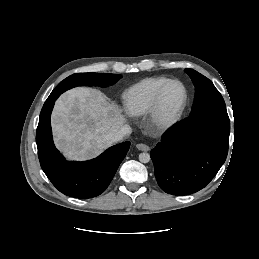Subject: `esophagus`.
Returning <instances> with one entry per match:
<instances>
[{
  "label": "esophagus",
  "mask_w": 259,
  "mask_h": 259,
  "mask_svg": "<svg viewBox=\"0 0 259 259\" xmlns=\"http://www.w3.org/2000/svg\"><path fill=\"white\" fill-rule=\"evenodd\" d=\"M136 147H137V149L140 150V151H145V152H147V151L150 150L149 146L146 145V144H143V143L137 144Z\"/></svg>",
  "instance_id": "obj_1"
}]
</instances>
